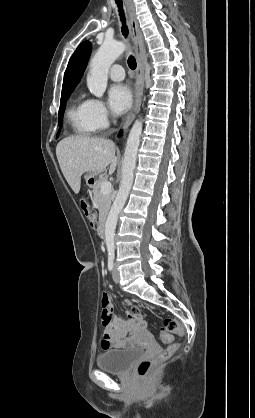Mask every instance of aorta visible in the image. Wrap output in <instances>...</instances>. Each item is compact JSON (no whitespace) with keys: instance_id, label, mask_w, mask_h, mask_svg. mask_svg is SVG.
<instances>
[{"instance_id":"aorta-1","label":"aorta","mask_w":255,"mask_h":418,"mask_svg":"<svg viewBox=\"0 0 255 418\" xmlns=\"http://www.w3.org/2000/svg\"><path fill=\"white\" fill-rule=\"evenodd\" d=\"M125 44L118 41H104L90 62V71L87 76V86L90 92L101 98L106 90L108 72L112 63L125 51ZM142 133V121L136 120L133 124L126 143L122 165V180L119 191L113 202L105 224V243L108 255L113 256L115 251L114 237L118 215L128 198L134 179L137 152Z\"/></svg>"}]
</instances>
